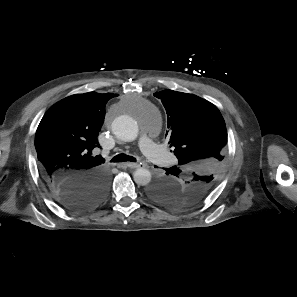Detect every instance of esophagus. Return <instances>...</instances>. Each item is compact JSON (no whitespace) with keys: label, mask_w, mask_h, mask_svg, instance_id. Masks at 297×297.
Returning a JSON list of instances; mask_svg holds the SVG:
<instances>
[{"label":"esophagus","mask_w":297,"mask_h":297,"mask_svg":"<svg viewBox=\"0 0 297 297\" xmlns=\"http://www.w3.org/2000/svg\"><path fill=\"white\" fill-rule=\"evenodd\" d=\"M123 165L126 166V167H129V168H139V167H141V164H139V163H131V162L124 163Z\"/></svg>","instance_id":"obj_1"}]
</instances>
